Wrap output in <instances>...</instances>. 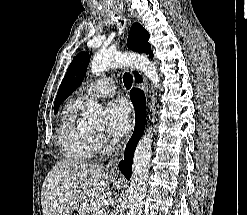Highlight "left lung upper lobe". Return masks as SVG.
I'll return each instance as SVG.
<instances>
[{"mask_svg":"<svg viewBox=\"0 0 247 215\" xmlns=\"http://www.w3.org/2000/svg\"><path fill=\"white\" fill-rule=\"evenodd\" d=\"M148 39L149 33L140 24L134 23L130 29L127 46L131 50L145 52L151 56V45L148 43ZM89 60L90 55L88 52H81L74 57L59 87L54 103V113H57L60 104L83 81Z\"/></svg>","mask_w":247,"mask_h":215,"instance_id":"1","label":"left lung upper lobe"}]
</instances>
